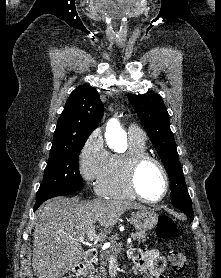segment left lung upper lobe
<instances>
[{
    "mask_svg": "<svg viewBox=\"0 0 221 278\" xmlns=\"http://www.w3.org/2000/svg\"><path fill=\"white\" fill-rule=\"evenodd\" d=\"M128 99L145 126L169 175L172 204H191L163 100L155 93L129 94Z\"/></svg>",
    "mask_w": 221,
    "mask_h": 278,
    "instance_id": "1",
    "label": "left lung upper lobe"
}]
</instances>
